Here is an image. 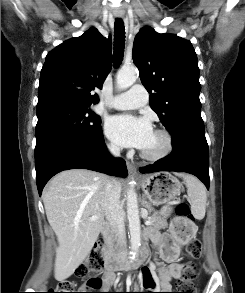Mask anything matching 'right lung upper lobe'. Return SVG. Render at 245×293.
I'll return each instance as SVG.
<instances>
[{
  "label": "right lung upper lobe",
  "instance_id": "cb5924a9",
  "mask_svg": "<svg viewBox=\"0 0 245 293\" xmlns=\"http://www.w3.org/2000/svg\"><path fill=\"white\" fill-rule=\"evenodd\" d=\"M112 66L111 39L95 28L67 40L50 51L40 75L37 109L67 104L91 106Z\"/></svg>",
  "mask_w": 245,
  "mask_h": 293
}]
</instances>
